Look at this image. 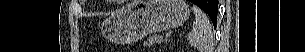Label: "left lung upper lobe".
I'll use <instances>...</instances> for the list:
<instances>
[{
	"label": "left lung upper lobe",
	"mask_w": 305,
	"mask_h": 52,
	"mask_svg": "<svg viewBox=\"0 0 305 52\" xmlns=\"http://www.w3.org/2000/svg\"><path fill=\"white\" fill-rule=\"evenodd\" d=\"M208 15H209V17L211 18L212 21H217V12L214 13V12L210 11L208 13Z\"/></svg>",
	"instance_id": "left-lung-upper-lobe-1"
}]
</instances>
